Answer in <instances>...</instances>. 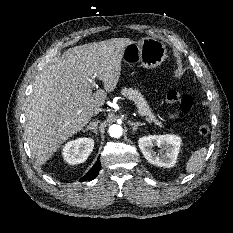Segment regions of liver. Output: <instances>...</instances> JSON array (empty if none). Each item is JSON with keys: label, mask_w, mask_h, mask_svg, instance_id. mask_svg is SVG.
Here are the masks:
<instances>
[{"label": "liver", "mask_w": 233, "mask_h": 233, "mask_svg": "<svg viewBox=\"0 0 233 233\" xmlns=\"http://www.w3.org/2000/svg\"><path fill=\"white\" fill-rule=\"evenodd\" d=\"M128 38H112L68 49L37 77L26 108L25 133L32 155L44 164L69 137L88 124L94 109L120 78ZM104 89L92 91V81Z\"/></svg>", "instance_id": "1"}]
</instances>
